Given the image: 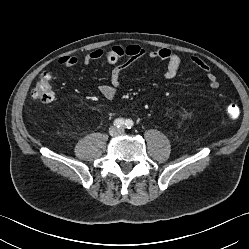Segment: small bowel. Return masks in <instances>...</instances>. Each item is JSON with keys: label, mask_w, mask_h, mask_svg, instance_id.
Instances as JSON below:
<instances>
[{"label": "small bowel", "mask_w": 249, "mask_h": 249, "mask_svg": "<svg viewBox=\"0 0 249 249\" xmlns=\"http://www.w3.org/2000/svg\"><path fill=\"white\" fill-rule=\"evenodd\" d=\"M149 57L150 59L160 60L165 63L163 75L166 79H174L183 63L181 56L168 49L158 48L147 51L141 45L130 44L128 46H113L108 50L96 48L88 52L83 58L82 63L88 65L94 61L104 58L109 64L114 65L110 73V83L98 87L99 93L108 100H113L118 94L121 85V74L136 60ZM125 59L123 63H119ZM190 61L206 74L209 85L212 89H217L220 85L217 76L211 71L208 63L199 56L192 55ZM57 63L64 67H74L79 63L76 56H64L58 59Z\"/></svg>", "instance_id": "small-bowel-1"}]
</instances>
